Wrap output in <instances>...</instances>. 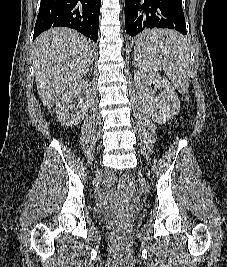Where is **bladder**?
<instances>
[{
  "label": "bladder",
  "instance_id": "bladder-1",
  "mask_svg": "<svg viewBox=\"0 0 227 267\" xmlns=\"http://www.w3.org/2000/svg\"><path fill=\"white\" fill-rule=\"evenodd\" d=\"M121 216L120 211H109V210H102L97 212V217L100 221H107L111 218H117Z\"/></svg>",
  "mask_w": 227,
  "mask_h": 267
}]
</instances>
